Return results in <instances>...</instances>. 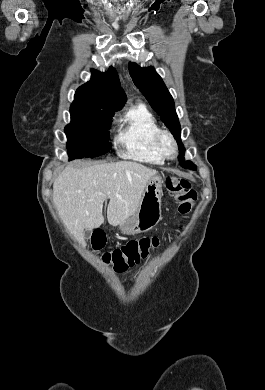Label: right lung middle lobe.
Returning <instances> with one entry per match:
<instances>
[{
  "label": "right lung middle lobe",
  "mask_w": 265,
  "mask_h": 390,
  "mask_svg": "<svg viewBox=\"0 0 265 390\" xmlns=\"http://www.w3.org/2000/svg\"><path fill=\"white\" fill-rule=\"evenodd\" d=\"M71 122L65 127L69 159L97 157L111 149L109 129L113 113L87 107H70Z\"/></svg>",
  "instance_id": "obj_1"
}]
</instances>
